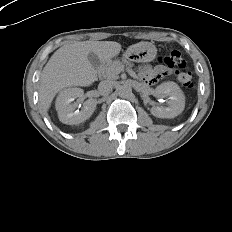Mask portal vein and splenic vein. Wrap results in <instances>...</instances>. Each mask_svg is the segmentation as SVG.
Returning <instances> with one entry per match:
<instances>
[{"mask_svg": "<svg viewBox=\"0 0 232 232\" xmlns=\"http://www.w3.org/2000/svg\"><path fill=\"white\" fill-rule=\"evenodd\" d=\"M129 74L133 77V78H137L136 74L134 71H129Z\"/></svg>", "mask_w": 232, "mask_h": 232, "instance_id": "portal-vein-and-splenic-vein-1", "label": "portal vein and splenic vein"}]
</instances>
